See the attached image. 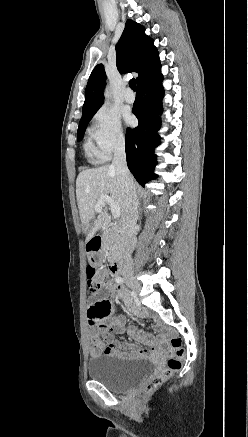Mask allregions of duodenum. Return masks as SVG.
I'll return each instance as SVG.
<instances>
[{
    "label": "duodenum",
    "instance_id": "duodenum-1",
    "mask_svg": "<svg viewBox=\"0 0 248 437\" xmlns=\"http://www.w3.org/2000/svg\"><path fill=\"white\" fill-rule=\"evenodd\" d=\"M103 246V238L101 236L93 237L86 246L87 255L89 257H94L96 252L100 251ZM123 268V260L117 258L113 261L111 265V271L113 274L118 275Z\"/></svg>",
    "mask_w": 248,
    "mask_h": 437
}]
</instances>
